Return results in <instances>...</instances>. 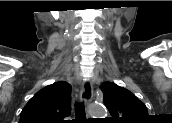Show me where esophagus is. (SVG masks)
I'll use <instances>...</instances> for the list:
<instances>
[{
  "label": "esophagus",
  "mask_w": 172,
  "mask_h": 123,
  "mask_svg": "<svg viewBox=\"0 0 172 123\" xmlns=\"http://www.w3.org/2000/svg\"><path fill=\"white\" fill-rule=\"evenodd\" d=\"M80 99L85 103L89 104L93 99V86L90 80H85L80 91ZM90 118L87 115V119Z\"/></svg>",
  "instance_id": "1"
}]
</instances>
